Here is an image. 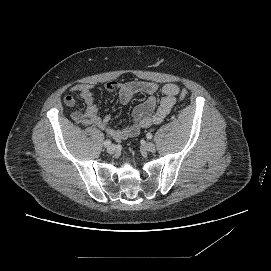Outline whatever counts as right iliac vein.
I'll return each instance as SVG.
<instances>
[{
  "label": "right iliac vein",
  "instance_id": "63e3f726",
  "mask_svg": "<svg viewBox=\"0 0 271 271\" xmlns=\"http://www.w3.org/2000/svg\"><path fill=\"white\" fill-rule=\"evenodd\" d=\"M116 151V147L114 145H110L108 148H107V152L109 154H114Z\"/></svg>",
  "mask_w": 271,
  "mask_h": 271
}]
</instances>
